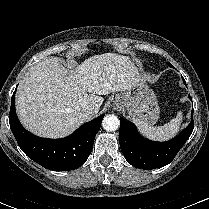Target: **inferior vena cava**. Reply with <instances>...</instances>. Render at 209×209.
<instances>
[{"label":"inferior vena cava","mask_w":209,"mask_h":209,"mask_svg":"<svg viewBox=\"0 0 209 209\" xmlns=\"http://www.w3.org/2000/svg\"><path fill=\"white\" fill-rule=\"evenodd\" d=\"M85 113H86V115L91 116V115H94L95 113H97V109L93 106H87L85 108Z\"/></svg>","instance_id":"602c4592"}]
</instances>
